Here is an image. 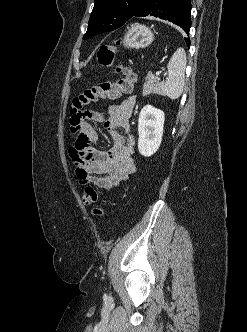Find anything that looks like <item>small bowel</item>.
Masks as SVG:
<instances>
[{
	"label": "small bowel",
	"mask_w": 247,
	"mask_h": 332,
	"mask_svg": "<svg viewBox=\"0 0 247 332\" xmlns=\"http://www.w3.org/2000/svg\"><path fill=\"white\" fill-rule=\"evenodd\" d=\"M134 105V98H128L120 104L110 105L106 112H84L82 123L76 131L75 143L69 149V156L81 185L113 191L136 171L132 157L135 140L130 133L129 122ZM89 121L104 124L113 141V147L108 152L94 147L98 135Z\"/></svg>",
	"instance_id": "obj_1"
}]
</instances>
